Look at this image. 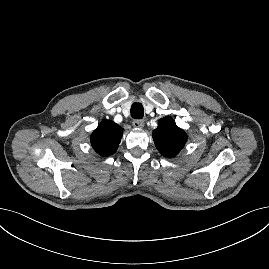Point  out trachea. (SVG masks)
Listing matches in <instances>:
<instances>
[{
    "mask_svg": "<svg viewBox=\"0 0 269 269\" xmlns=\"http://www.w3.org/2000/svg\"><path fill=\"white\" fill-rule=\"evenodd\" d=\"M131 117L141 119L144 116V108L141 103H133L131 106Z\"/></svg>",
    "mask_w": 269,
    "mask_h": 269,
    "instance_id": "trachea-1",
    "label": "trachea"
}]
</instances>
